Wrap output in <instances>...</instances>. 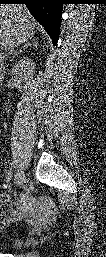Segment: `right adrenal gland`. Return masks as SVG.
<instances>
[{
    "instance_id": "right-adrenal-gland-1",
    "label": "right adrenal gland",
    "mask_w": 106,
    "mask_h": 257,
    "mask_svg": "<svg viewBox=\"0 0 106 257\" xmlns=\"http://www.w3.org/2000/svg\"><path fill=\"white\" fill-rule=\"evenodd\" d=\"M38 45H39V44H38V40H37L36 38H34V37L31 38L30 40H27V41L24 43V45L19 49V51H16V52L14 53V56L12 57L11 61H13L14 58H15L18 54H20L23 50L27 49L28 47L37 48Z\"/></svg>"
}]
</instances>
